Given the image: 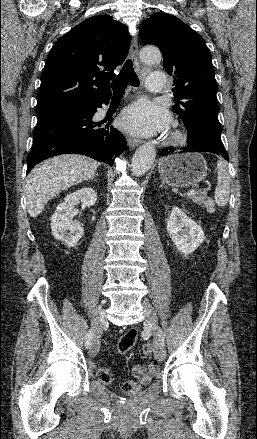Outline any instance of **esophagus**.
I'll return each instance as SVG.
<instances>
[{
	"label": "esophagus",
	"instance_id": "34e87169",
	"mask_svg": "<svg viewBox=\"0 0 257 439\" xmlns=\"http://www.w3.org/2000/svg\"><path fill=\"white\" fill-rule=\"evenodd\" d=\"M130 55L135 62L138 61V41L136 36H133L131 40ZM127 143L130 148H135L141 143V140L127 137Z\"/></svg>",
	"mask_w": 257,
	"mask_h": 439
}]
</instances>
